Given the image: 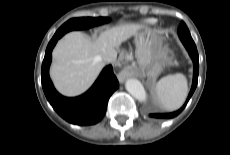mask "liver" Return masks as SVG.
I'll use <instances>...</instances> for the list:
<instances>
[{"instance_id":"6515ba94","label":"liver","mask_w":230,"mask_h":155,"mask_svg":"<svg viewBox=\"0 0 230 155\" xmlns=\"http://www.w3.org/2000/svg\"><path fill=\"white\" fill-rule=\"evenodd\" d=\"M142 28L138 23H124L103 31L94 40L78 31L67 33L52 53L50 76L56 89L65 96L84 93L103 69L105 57Z\"/></svg>"}]
</instances>
